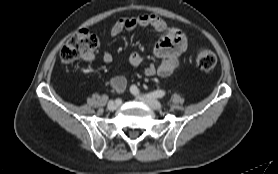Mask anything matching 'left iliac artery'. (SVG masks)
Listing matches in <instances>:
<instances>
[{"label": "left iliac artery", "mask_w": 278, "mask_h": 174, "mask_svg": "<svg viewBox=\"0 0 278 174\" xmlns=\"http://www.w3.org/2000/svg\"><path fill=\"white\" fill-rule=\"evenodd\" d=\"M130 90L135 95H141L143 97L150 98V99L162 98L165 96V91L163 90H156L147 94H141L139 89L135 85H132Z\"/></svg>", "instance_id": "1"}]
</instances>
